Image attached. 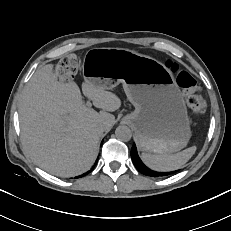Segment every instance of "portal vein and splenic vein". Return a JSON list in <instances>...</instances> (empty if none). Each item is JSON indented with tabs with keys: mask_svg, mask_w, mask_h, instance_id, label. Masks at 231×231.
Listing matches in <instances>:
<instances>
[{
	"mask_svg": "<svg viewBox=\"0 0 231 231\" xmlns=\"http://www.w3.org/2000/svg\"><path fill=\"white\" fill-rule=\"evenodd\" d=\"M86 105H87L89 108H91V106H92V104H91L90 101H87Z\"/></svg>",
	"mask_w": 231,
	"mask_h": 231,
	"instance_id": "1",
	"label": "portal vein and splenic vein"
}]
</instances>
